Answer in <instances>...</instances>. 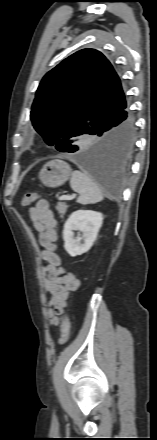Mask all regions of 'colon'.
Segmentation results:
<instances>
[{
  "instance_id": "obj_1",
  "label": "colon",
  "mask_w": 157,
  "mask_h": 440,
  "mask_svg": "<svg viewBox=\"0 0 157 440\" xmlns=\"http://www.w3.org/2000/svg\"><path fill=\"white\" fill-rule=\"evenodd\" d=\"M37 198H38L37 193H33V192L26 193L22 198V204L24 206H28L31 203H33ZM63 309L64 308H62V310H61V314H62L63 318H62V323H61V335H60V339H59L60 345L65 344L70 337V321H69V319Z\"/></svg>"
}]
</instances>
